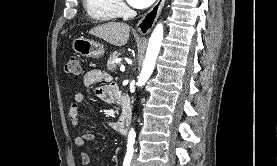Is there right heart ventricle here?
<instances>
[{
  "label": "right heart ventricle",
  "instance_id": "1",
  "mask_svg": "<svg viewBox=\"0 0 277 166\" xmlns=\"http://www.w3.org/2000/svg\"><path fill=\"white\" fill-rule=\"evenodd\" d=\"M82 3L88 17L95 22H109L119 16L115 0H83Z\"/></svg>",
  "mask_w": 277,
  "mask_h": 166
}]
</instances>
